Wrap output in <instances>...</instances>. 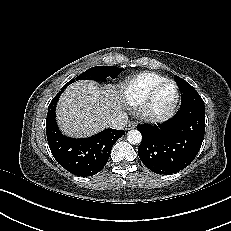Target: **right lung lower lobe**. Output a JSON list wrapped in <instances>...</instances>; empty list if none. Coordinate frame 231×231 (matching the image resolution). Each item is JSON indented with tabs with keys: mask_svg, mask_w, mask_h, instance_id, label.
<instances>
[{
	"mask_svg": "<svg viewBox=\"0 0 231 231\" xmlns=\"http://www.w3.org/2000/svg\"><path fill=\"white\" fill-rule=\"evenodd\" d=\"M69 84L63 86L49 105L46 119L47 141L55 160L63 168L77 176H92L104 168L113 145L125 131L106 129L82 139L64 136L57 127L55 109L60 95Z\"/></svg>",
	"mask_w": 231,
	"mask_h": 231,
	"instance_id": "obj_1",
	"label": "right lung lower lobe"
}]
</instances>
